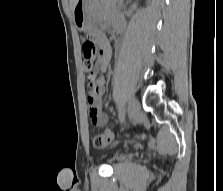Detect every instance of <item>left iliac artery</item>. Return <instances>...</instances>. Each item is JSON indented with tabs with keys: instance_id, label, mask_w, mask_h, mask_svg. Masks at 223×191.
Wrapping results in <instances>:
<instances>
[{
	"instance_id": "left-iliac-artery-1",
	"label": "left iliac artery",
	"mask_w": 223,
	"mask_h": 191,
	"mask_svg": "<svg viewBox=\"0 0 223 191\" xmlns=\"http://www.w3.org/2000/svg\"><path fill=\"white\" fill-rule=\"evenodd\" d=\"M125 112H126V109H125V98H124L119 104V120L121 123L124 122Z\"/></svg>"
}]
</instances>
